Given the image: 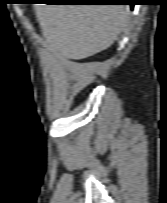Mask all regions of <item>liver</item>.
I'll use <instances>...</instances> for the list:
<instances>
[{
	"label": "liver",
	"instance_id": "1",
	"mask_svg": "<svg viewBox=\"0 0 167 203\" xmlns=\"http://www.w3.org/2000/svg\"><path fill=\"white\" fill-rule=\"evenodd\" d=\"M37 19L52 51L80 60L110 47L128 23L123 5H37Z\"/></svg>",
	"mask_w": 167,
	"mask_h": 203
}]
</instances>
